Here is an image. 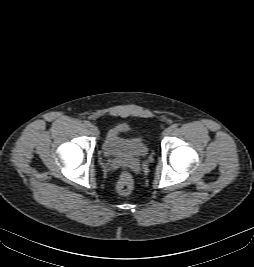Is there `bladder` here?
Wrapping results in <instances>:
<instances>
[{"label":"bladder","mask_w":254,"mask_h":267,"mask_svg":"<svg viewBox=\"0 0 254 267\" xmlns=\"http://www.w3.org/2000/svg\"><path fill=\"white\" fill-rule=\"evenodd\" d=\"M129 126L118 124L108 130L102 143V151L107 158H142L148 147L141 136H128Z\"/></svg>","instance_id":"obj_1"}]
</instances>
